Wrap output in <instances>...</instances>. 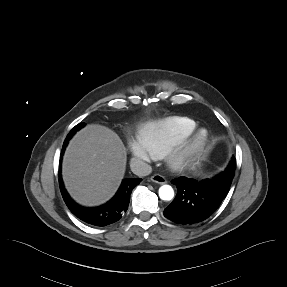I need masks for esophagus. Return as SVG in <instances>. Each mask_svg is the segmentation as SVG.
I'll return each mask as SVG.
<instances>
[{"label":"esophagus","instance_id":"34e87169","mask_svg":"<svg viewBox=\"0 0 287 287\" xmlns=\"http://www.w3.org/2000/svg\"><path fill=\"white\" fill-rule=\"evenodd\" d=\"M150 179L152 182L160 184V185L166 183V179L162 175H159V174L153 175Z\"/></svg>","mask_w":287,"mask_h":287}]
</instances>
